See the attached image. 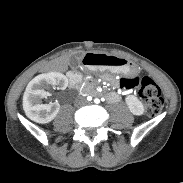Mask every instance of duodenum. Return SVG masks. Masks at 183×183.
Returning <instances> with one entry per match:
<instances>
[{
  "label": "duodenum",
  "mask_w": 183,
  "mask_h": 183,
  "mask_svg": "<svg viewBox=\"0 0 183 183\" xmlns=\"http://www.w3.org/2000/svg\"><path fill=\"white\" fill-rule=\"evenodd\" d=\"M68 78H69V84L71 87H75L80 79L79 76L77 74H74V73H70L68 75Z\"/></svg>",
  "instance_id": "410a0bca"
}]
</instances>
